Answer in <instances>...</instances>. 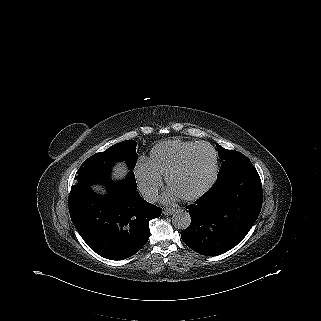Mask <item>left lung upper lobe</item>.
Listing matches in <instances>:
<instances>
[{"label":"left lung upper lobe","instance_id":"obj_1","mask_svg":"<svg viewBox=\"0 0 321 321\" xmlns=\"http://www.w3.org/2000/svg\"><path fill=\"white\" fill-rule=\"evenodd\" d=\"M217 148H218V155L220 159L223 161L221 168L219 170L218 176H220L223 172L227 171L232 167L251 163L250 160L245 155H243L238 151L224 149L222 146L218 144H217Z\"/></svg>","mask_w":321,"mask_h":321}]
</instances>
